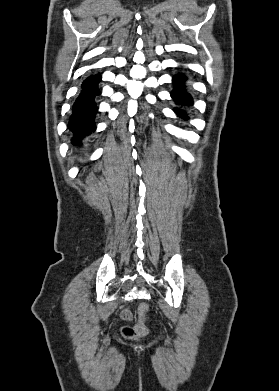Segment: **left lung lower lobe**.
Instances as JSON below:
<instances>
[{"label": "left lung lower lobe", "instance_id": "1", "mask_svg": "<svg viewBox=\"0 0 279 391\" xmlns=\"http://www.w3.org/2000/svg\"><path fill=\"white\" fill-rule=\"evenodd\" d=\"M187 77L184 74H178L173 77L174 89L171 92V96L174 99L175 103L183 106H189L193 103V98L186 91L185 81ZM179 117H183L185 120L188 119L185 111L183 109H174Z\"/></svg>", "mask_w": 279, "mask_h": 391}]
</instances>
